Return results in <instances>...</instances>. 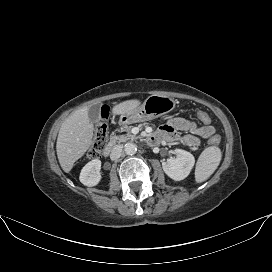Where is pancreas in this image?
<instances>
[{
	"instance_id": "pancreas-1",
	"label": "pancreas",
	"mask_w": 272,
	"mask_h": 272,
	"mask_svg": "<svg viewBox=\"0 0 272 272\" xmlns=\"http://www.w3.org/2000/svg\"><path fill=\"white\" fill-rule=\"evenodd\" d=\"M120 132H126L123 135H115L114 133L111 135V143H121L125 142L128 139H137L138 137L131 134V126L124 125L120 128Z\"/></svg>"
}]
</instances>
